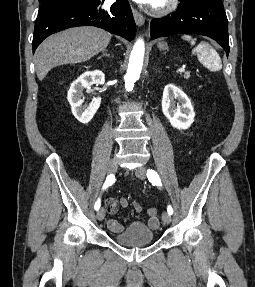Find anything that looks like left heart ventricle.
Listing matches in <instances>:
<instances>
[{"label": "left heart ventricle", "instance_id": "1", "mask_svg": "<svg viewBox=\"0 0 255 287\" xmlns=\"http://www.w3.org/2000/svg\"><path fill=\"white\" fill-rule=\"evenodd\" d=\"M150 33H161V32H150ZM144 39H160V38H144ZM135 48H165V47H135Z\"/></svg>", "mask_w": 255, "mask_h": 287}]
</instances>
